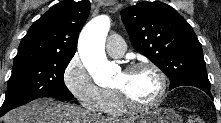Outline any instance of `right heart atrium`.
I'll use <instances>...</instances> for the list:
<instances>
[{"mask_svg": "<svg viewBox=\"0 0 221 123\" xmlns=\"http://www.w3.org/2000/svg\"><path fill=\"white\" fill-rule=\"evenodd\" d=\"M63 80L67 89L84 108L102 112L106 91L95 84L79 57L74 56L68 62Z\"/></svg>", "mask_w": 221, "mask_h": 123, "instance_id": "1", "label": "right heart atrium"}]
</instances>
